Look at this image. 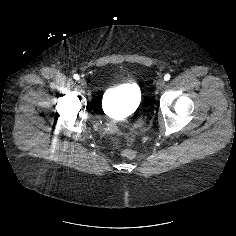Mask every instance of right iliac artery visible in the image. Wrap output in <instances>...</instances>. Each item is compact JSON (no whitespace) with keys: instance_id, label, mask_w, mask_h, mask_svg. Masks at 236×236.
Returning a JSON list of instances; mask_svg holds the SVG:
<instances>
[{"instance_id":"1","label":"right iliac artery","mask_w":236,"mask_h":236,"mask_svg":"<svg viewBox=\"0 0 236 236\" xmlns=\"http://www.w3.org/2000/svg\"><path fill=\"white\" fill-rule=\"evenodd\" d=\"M73 78H74L75 80H79L80 77H79L78 74H74V75H73Z\"/></svg>"}]
</instances>
